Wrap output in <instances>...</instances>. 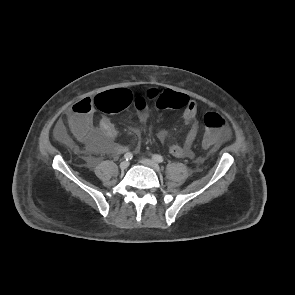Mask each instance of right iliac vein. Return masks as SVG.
<instances>
[{"mask_svg":"<svg viewBox=\"0 0 295 295\" xmlns=\"http://www.w3.org/2000/svg\"><path fill=\"white\" fill-rule=\"evenodd\" d=\"M120 169L121 170H125V169H127V167L129 166V162L128 161H122L121 163H120Z\"/></svg>","mask_w":295,"mask_h":295,"instance_id":"63e3f726","label":"right iliac vein"}]
</instances>
